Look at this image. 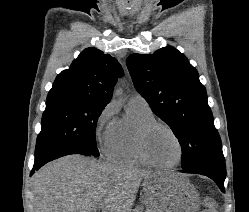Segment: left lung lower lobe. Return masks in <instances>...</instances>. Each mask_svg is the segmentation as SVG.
Listing matches in <instances>:
<instances>
[{
    "instance_id": "left-lung-lower-lobe-1",
    "label": "left lung lower lobe",
    "mask_w": 249,
    "mask_h": 212,
    "mask_svg": "<svg viewBox=\"0 0 249 212\" xmlns=\"http://www.w3.org/2000/svg\"><path fill=\"white\" fill-rule=\"evenodd\" d=\"M182 172L205 175L211 178L222 192H225L226 166L224 156L209 158L189 169H183Z\"/></svg>"
}]
</instances>
